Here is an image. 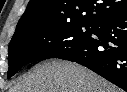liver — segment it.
I'll return each mask as SVG.
<instances>
[{"mask_svg": "<svg viewBox=\"0 0 127 92\" xmlns=\"http://www.w3.org/2000/svg\"><path fill=\"white\" fill-rule=\"evenodd\" d=\"M9 92H121L93 71L69 61L38 64Z\"/></svg>", "mask_w": 127, "mask_h": 92, "instance_id": "1", "label": "liver"}]
</instances>
